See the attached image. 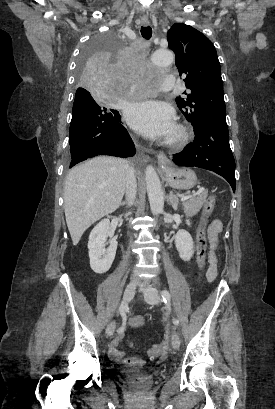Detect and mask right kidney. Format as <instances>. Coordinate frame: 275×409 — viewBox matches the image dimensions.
Returning <instances> with one entry per match:
<instances>
[{
  "instance_id": "right-kidney-1",
  "label": "right kidney",
  "mask_w": 275,
  "mask_h": 409,
  "mask_svg": "<svg viewBox=\"0 0 275 409\" xmlns=\"http://www.w3.org/2000/svg\"><path fill=\"white\" fill-rule=\"evenodd\" d=\"M114 229L110 227L109 219L100 221L89 235L88 249L90 267L94 273H107L109 271L116 255L117 241L111 239L109 247L107 245V237H113Z\"/></svg>"
}]
</instances>
